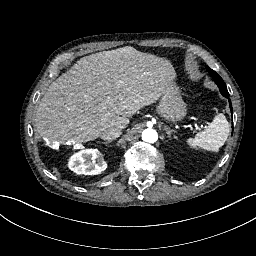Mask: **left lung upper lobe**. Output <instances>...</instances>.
Segmentation results:
<instances>
[{
	"mask_svg": "<svg viewBox=\"0 0 256 256\" xmlns=\"http://www.w3.org/2000/svg\"><path fill=\"white\" fill-rule=\"evenodd\" d=\"M207 71L210 73V75L212 76V78L214 79L215 83L218 85L220 92L223 96H225L226 98H229V93L227 91L226 85L223 82L222 78L212 69H210L208 66H206ZM229 105H230V109L232 111V105H231V100L229 99Z\"/></svg>",
	"mask_w": 256,
	"mask_h": 256,
	"instance_id": "obj_1",
	"label": "left lung upper lobe"
}]
</instances>
